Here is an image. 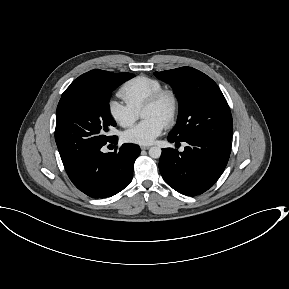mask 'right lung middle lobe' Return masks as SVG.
Wrapping results in <instances>:
<instances>
[{"mask_svg": "<svg viewBox=\"0 0 289 289\" xmlns=\"http://www.w3.org/2000/svg\"><path fill=\"white\" fill-rule=\"evenodd\" d=\"M131 73H112L94 86L63 93L56 111L55 140L62 162L103 145L115 136H107L116 126L109 112L111 91L131 79Z\"/></svg>", "mask_w": 289, "mask_h": 289, "instance_id": "right-lung-middle-lobe-1", "label": "right lung middle lobe"}]
</instances>
